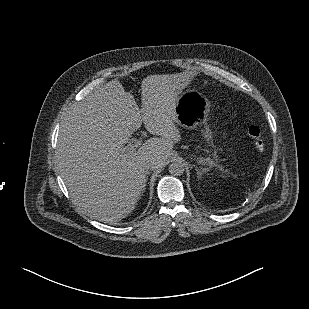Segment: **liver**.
I'll list each match as a JSON object with an SVG mask.
<instances>
[{
  "instance_id": "6515ba94",
  "label": "liver",
  "mask_w": 309,
  "mask_h": 309,
  "mask_svg": "<svg viewBox=\"0 0 309 309\" xmlns=\"http://www.w3.org/2000/svg\"><path fill=\"white\" fill-rule=\"evenodd\" d=\"M142 108L117 81L98 87L64 115L56 160L75 205L88 217L113 223L135 208L146 186V167L164 165L179 140L175 113L159 81L146 78ZM144 123L150 138L138 150L125 149Z\"/></svg>"
}]
</instances>
